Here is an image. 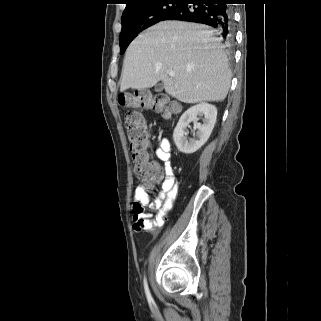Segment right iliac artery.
Segmentation results:
<instances>
[{"label": "right iliac artery", "mask_w": 321, "mask_h": 321, "mask_svg": "<svg viewBox=\"0 0 321 321\" xmlns=\"http://www.w3.org/2000/svg\"><path fill=\"white\" fill-rule=\"evenodd\" d=\"M144 289H145V294H146V297H147L148 301H151L152 297H151V294H150V290H149V287H148V284H147L146 277H144Z\"/></svg>", "instance_id": "obj_1"}]
</instances>
